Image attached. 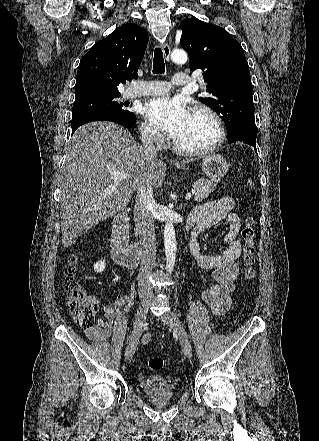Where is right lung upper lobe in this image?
<instances>
[{"mask_svg": "<svg viewBox=\"0 0 319 441\" xmlns=\"http://www.w3.org/2000/svg\"><path fill=\"white\" fill-rule=\"evenodd\" d=\"M148 40L144 29L126 24L95 43L80 61L75 100L120 95L118 85L138 77Z\"/></svg>", "mask_w": 319, "mask_h": 441, "instance_id": "1", "label": "right lung upper lobe"}]
</instances>
